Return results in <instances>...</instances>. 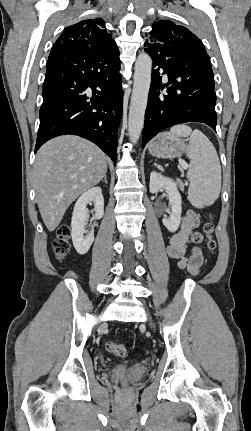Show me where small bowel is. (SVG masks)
<instances>
[{
  "label": "small bowel",
  "mask_w": 251,
  "mask_h": 431,
  "mask_svg": "<svg viewBox=\"0 0 251 431\" xmlns=\"http://www.w3.org/2000/svg\"><path fill=\"white\" fill-rule=\"evenodd\" d=\"M198 226V215L188 210L182 217L180 229L171 236L167 246L168 256L176 262L177 267L186 269L191 275H197L203 264V253L199 246L203 236L196 231Z\"/></svg>",
  "instance_id": "small-bowel-1"
}]
</instances>
